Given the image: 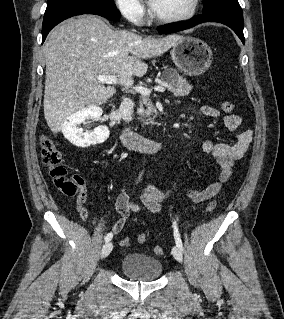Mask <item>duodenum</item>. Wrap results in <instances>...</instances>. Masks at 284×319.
I'll list each match as a JSON object with an SVG mask.
<instances>
[{"label": "duodenum", "instance_id": "410a0bca", "mask_svg": "<svg viewBox=\"0 0 284 319\" xmlns=\"http://www.w3.org/2000/svg\"><path fill=\"white\" fill-rule=\"evenodd\" d=\"M121 141L128 148L150 152L159 151L164 147V144L162 142L144 137L143 135L129 128L123 129L121 134Z\"/></svg>", "mask_w": 284, "mask_h": 319}]
</instances>
